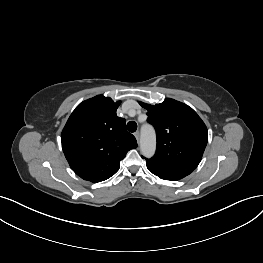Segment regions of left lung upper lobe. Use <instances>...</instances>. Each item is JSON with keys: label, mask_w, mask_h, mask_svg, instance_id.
<instances>
[{"label": "left lung upper lobe", "mask_w": 263, "mask_h": 263, "mask_svg": "<svg viewBox=\"0 0 263 263\" xmlns=\"http://www.w3.org/2000/svg\"><path fill=\"white\" fill-rule=\"evenodd\" d=\"M148 121L157 135V150L146 159L150 172L164 180H179L193 172L201 161L208 141L206 125L189 106L174 99L150 105ZM144 158V157H143Z\"/></svg>", "instance_id": "left-lung-upper-lobe-1"}]
</instances>
